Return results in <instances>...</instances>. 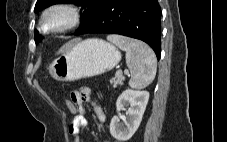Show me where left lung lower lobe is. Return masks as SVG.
I'll use <instances>...</instances> for the list:
<instances>
[{
	"label": "left lung lower lobe",
	"instance_id": "1",
	"mask_svg": "<svg viewBox=\"0 0 227 142\" xmlns=\"http://www.w3.org/2000/svg\"><path fill=\"white\" fill-rule=\"evenodd\" d=\"M160 17L157 0H106L75 35L109 33L136 38L149 44L159 59Z\"/></svg>",
	"mask_w": 227,
	"mask_h": 142
}]
</instances>
